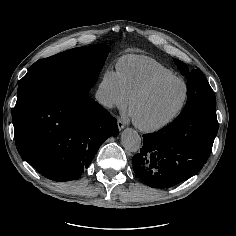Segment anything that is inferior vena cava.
<instances>
[{"instance_id": "inferior-vena-cava-1", "label": "inferior vena cava", "mask_w": 236, "mask_h": 236, "mask_svg": "<svg viewBox=\"0 0 236 236\" xmlns=\"http://www.w3.org/2000/svg\"><path fill=\"white\" fill-rule=\"evenodd\" d=\"M96 100L105 106L112 104V98L110 96V91L107 89L99 88L96 92Z\"/></svg>"}]
</instances>
